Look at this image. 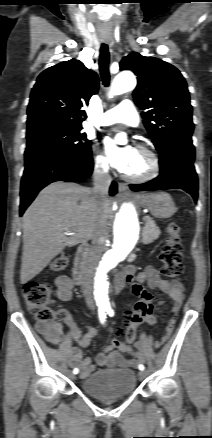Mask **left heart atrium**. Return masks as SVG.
Instances as JSON below:
<instances>
[{"label": "left heart atrium", "mask_w": 212, "mask_h": 438, "mask_svg": "<svg viewBox=\"0 0 212 438\" xmlns=\"http://www.w3.org/2000/svg\"><path fill=\"white\" fill-rule=\"evenodd\" d=\"M104 147L112 165L119 171L125 172L136 153V149L131 146L119 147L111 138L104 140Z\"/></svg>", "instance_id": "left-heart-atrium-1"}]
</instances>
